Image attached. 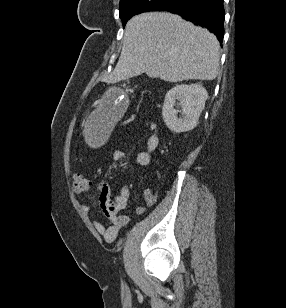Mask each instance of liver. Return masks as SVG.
Returning <instances> with one entry per match:
<instances>
[{
  "mask_svg": "<svg viewBox=\"0 0 286 308\" xmlns=\"http://www.w3.org/2000/svg\"><path fill=\"white\" fill-rule=\"evenodd\" d=\"M219 48L214 34L178 15L142 13L127 22L121 55L107 81L142 73L169 82L213 80L219 70Z\"/></svg>",
  "mask_w": 286,
  "mask_h": 308,
  "instance_id": "liver-1",
  "label": "liver"
}]
</instances>
